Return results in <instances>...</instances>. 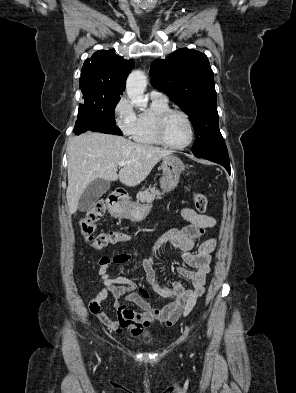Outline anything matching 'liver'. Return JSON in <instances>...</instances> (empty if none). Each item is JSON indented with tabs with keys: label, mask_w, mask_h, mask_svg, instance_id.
Wrapping results in <instances>:
<instances>
[{
	"label": "liver",
	"mask_w": 296,
	"mask_h": 393,
	"mask_svg": "<svg viewBox=\"0 0 296 393\" xmlns=\"http://www.w3.org/2000/svg\"><path fill=\"white\" fill-rule=\"evenodd\" d=\"M69 213L77 211L81 195L95 179L120 180L126 186L140 184L154 166L172 151L134 143L124 137L96 132L73 137L67 149ZM120 161L128 162L117 174Z\"/></svg>",
	"instance_id": "6515ba94"
}]
</instances>
